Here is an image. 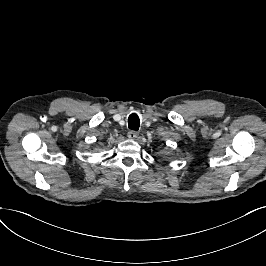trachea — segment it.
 Wrapping results in <instances>:
<instances>
[{
  "mask_svg": "<svg viewBox=\"0 0 266 266\" xmlns=\"http://www.w3.org/2000/svg\"><path fill=\"white\" fill-rule=\"evenodd\" d=\"M129 129L137 131L139 129V117L136 114H131L128 118Z\"/></svg>",
  "mask_w": 266,
  "mask_h": 266,
  "instance_id": "obj_1",
  "label": "trachea"
}]
</instances>
